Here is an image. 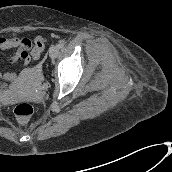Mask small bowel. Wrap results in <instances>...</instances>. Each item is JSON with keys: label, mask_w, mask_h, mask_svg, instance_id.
<instances>
[{"label": "small bowel", "mask_w": 172, "mask_h": 172, "mask_svg": "<svg viewBox=\"0 0 172 172\" xmlns=\"http://www.w3.org/2000/svg\"><path fill=\"white\" fill-rule=\"evenodd\" d=\"M45 38L37 36L33 41L27 37H4L0 36V50L17 49L16 53L9 58L11 63L21 62V71L24 70L31 60H37L44 49ZM20 72H0V79L11 82L19 76Z\"/></svg>", "instance_id": "small-bowel-1"}]
</instances>
